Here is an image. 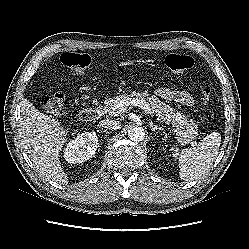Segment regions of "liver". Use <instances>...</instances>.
I'll return each instance as SVG.
<instances>
[{"label":"liver","mask_w":249,"mask_h":249,"mask_svg":"<svg viewBox=\"0 0 249 249\" xmlns=\"http://www.w3.org/2000/svg\"><path fill=\"white\" fill-rule=\"evenodd\" d=\"M19 127L26 153L40 175L66 184L68 179L60 165L59 152L67 138L60 123L23 100Z\"/></svg>","instance_id":"liver-1"}]
</instances>
